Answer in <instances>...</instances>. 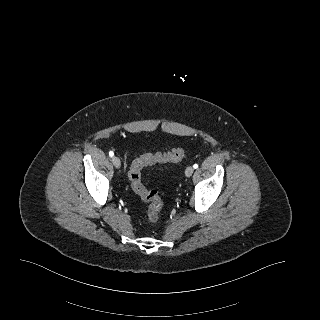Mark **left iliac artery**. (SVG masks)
<instances>
[{
  "label": "left iliac artery",
  "instance_id": "obj_1",
  "mask_svg": "<svg viewBox=\"0 0 320 320\" xmlns=\"http://www.w3.org/2000/svg\"><path fill=\"white\" fill-rule=\"evenodd\" d=\"M193 167H194L195 169H197V168H198V164H194Z\"/></svg>",
  "mask_w": 320,
  "mask_h": 320
}]
</instances>
